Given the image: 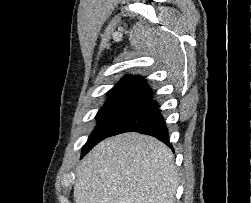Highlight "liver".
<instances>
[{"label":"liver","mask_w":251,"mask_h":203,"mask_svg":"<svg viewBox=\"0 0 251 203\" xmlns=\"http://www.w3.org/2000/svg\"><path fill=\"white\" fill-rule=\"evenodd\" d=\"M177 187L171 150L125 133L100 142L78 166L74 203H175Z\"/></svg>","instance_id":"6515ba94"}]
</instances>
